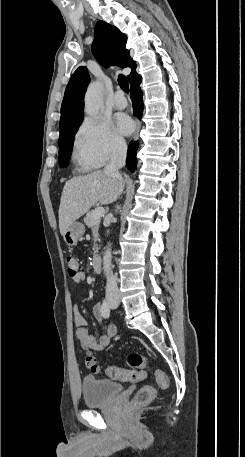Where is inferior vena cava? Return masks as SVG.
Here are the masks:
<instances>
[{
    "label": "inferior vena cava",
    "instance_id": "1",
    "mask_svg": "<svg viewBox=\"0 0 245 457\" xmlns=\"http://www.w3.org/2000/svg\"><path fill=\"white\" fill-rule=\"evenodd\" d=\"M127 144L125 140H115L114 148L111 152L110 160L104 168L106 174H110L113 178H119L122 180V174H119V168L124 166L126 160ZM107 297H112V295H117L118 285L115 277L110 275L107 285H106Z\"/></svg>",
    "mask_w": 245,
    "mask_h": 457
}]
</instances>
